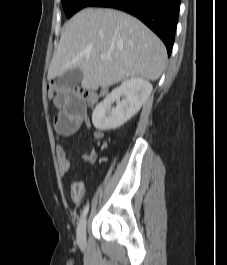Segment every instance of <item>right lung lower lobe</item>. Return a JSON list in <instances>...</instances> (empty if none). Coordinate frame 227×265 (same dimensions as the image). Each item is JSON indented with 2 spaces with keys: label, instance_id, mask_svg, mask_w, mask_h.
Instances as JSON below:
<instances>
[{
  "label": "right lung lower lobe",
  "instance_id": "1",
  "mask_svg": "<svg viewBox=\"0 0 227 265\" xmlns=\"http://www.w3.org/2000/svg\"><path fill=\"white\" fill-rule=\"evenodd\" d=\"M180 2L181 0H93L88 6L116 8L136 16L161 38L170 56Z\"/></svg>",
  "mask_w": 227,
  "mask_h": 265
}]
</instances>
